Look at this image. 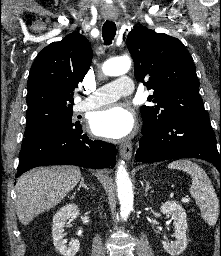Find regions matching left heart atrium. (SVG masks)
Wrapping results in <instances>:
<instances>
[{
	"mask_svg": "<svg viewBox=\"0 0 221 256\" xmlns=\"http://www.w3.org/2000/svg\"><path fill=\"white\" fill-rule=\"evenodd\" d=\"M135 120L132 112L122 104L106 106L90 118L92 132L101 137L121 139L134 129Z\"/></svg>",
	"mask_w": 221,
	"mask_h": 256,
	"instance_id": "1",
	"label": "left heart atrium"
}]
</instances>
